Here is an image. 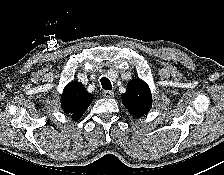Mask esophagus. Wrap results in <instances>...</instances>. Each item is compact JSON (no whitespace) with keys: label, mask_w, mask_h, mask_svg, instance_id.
Instances as JSON below:
<instances>
[{"label":"esophagus","mask_w":224,"mask_h":175,"mask_svg":"<svg viewBox=\"0 0 224 175\" xmlns=\"http://www.w3.org/2000/svg\"><path fill=\"white\" fill-rule=\"evenodd\" d=\"M102 96L105 98H113L114 97V92L112 91H103Z\"/></svg>","instance_id":"obj_1"}]
</instances>
